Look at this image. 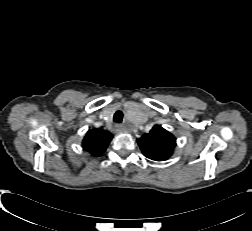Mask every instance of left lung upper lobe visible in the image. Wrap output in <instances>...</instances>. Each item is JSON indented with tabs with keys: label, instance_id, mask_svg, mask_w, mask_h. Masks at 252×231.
I'll return each mask as SVG.
<instances>
[{
	"label": "left lung upper lobe",
	"instance_id": "1",
	"mask_svg": "<svg viewBox=\"0 0 252 231\" xmlns=\"http://www.w3.org/2000/svg\"><path fill=\"white\" fill-rule=\"evenodd\" d=\"M143 154L152 160L168 159L176 146L175 137L161 126L155 125L148 134L137 139Z\"/></svg>",
	"mask_w": 252,
	"mask_h": 231
}]
</instances>
